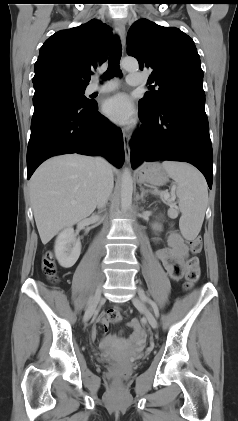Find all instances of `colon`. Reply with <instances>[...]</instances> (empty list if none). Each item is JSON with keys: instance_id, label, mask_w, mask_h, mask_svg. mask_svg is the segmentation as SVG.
Masks as SVG:
<instances>
[{"instance_id": "1", "label": "colon", "mask_w": 238, "mask_h": 421, "mask_svg": "<svg viewBox=\"0 0 238 421\" xmlns=\"http://www.w3.org/2000/svg\"><path fill=\"white\" fill-rule=\"evenodd\" d=\"M191 250L195 253L199 252L202 246L200 237H192L188 239ZM43 271L52 281L57 280V267L51 253H47L43 259ZM200 264L197 257L188 259L185 267L186 282L184 288L189 290L200 278ZM115 317L112 316V319Z\"/></svg>"}]
</instances>
